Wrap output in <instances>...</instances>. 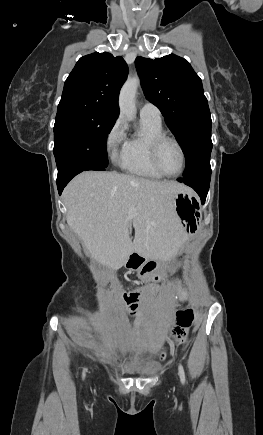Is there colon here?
I'll return each mask as SVG.
<instances>
[{
    "mask_svg": "<svg viewBox=\"0 0 263 435\" xmlns=\"http://www.w3.org/2000/svg\"><path fill=\"white\" fill-rule=\"evenodd\" d=\"M153 294V289H149L145 292H133L128 294H123L122 298L123 300L127 302H138L140 297L145 295H151ZM195 319V312L193 310H185L181 311L177 314V323H178V330L175 332V340L176 342L183 341L186 336L189 327L192 325ZM140 335H145V330H140ZM127 339H130V336H127ZM131 339H134V336H131ZM162 344H167V339H162ZM128 347L131 350H136L139 347V344L136 341L133 340H127ZM143 348H152V343H143Z\"/></svg>",
    "mask_w": 263,
    "mask_h": 435,
    "instance_id": "colon-1",
    "label": "colon"
}]
</instances>
